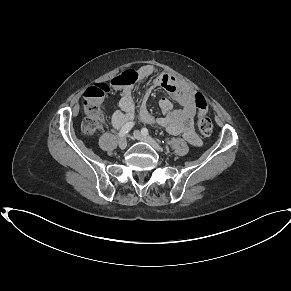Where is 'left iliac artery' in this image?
<instances>
[{
    "label": "left iliac artery",
    "mask_w": 291,
    "mask_h": 291,
    "mask_svg": "<svg viewBox=\"0 0 291 291\" xmlns=\"http://www.w3.org/2000/svg\"><path fill=\"white\" fill-rule=\"evenodd\" d=\"M141 133H142L143 135H146V136L149 135V131H148L147 128H142Z\"/></svg>",
    "instance_id": "1"
}]
</instances>
